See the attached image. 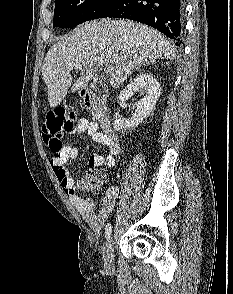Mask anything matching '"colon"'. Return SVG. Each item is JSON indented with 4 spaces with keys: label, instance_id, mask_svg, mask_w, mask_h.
Masks as SVG:
<instances>
[{
    "label": "colon",
    "instance_id": "1",
    "mask_svg": "<svg viewBox=\"0 0 233 294\" xmlns=\"http://www.w3.org/2000/svg\"><path fill=\"white\" fill-rule=\"evenodd\" d=\"M77 123V114L64 106L49 111L42 126V135L45 144L55 158L63 151L62 138L70 132ZM81 187L86 190H98L100 182L95 175L84 176L80 180Z\"/></svg>",
    "mask_w": 233,
    "mask_h": 294
}]
</instances>
